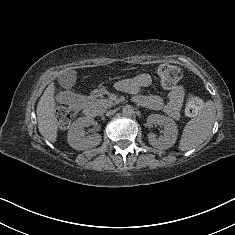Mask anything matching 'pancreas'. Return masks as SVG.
<instances>
[{"mask_svg": "<svg viewBox=\"0 0 235 235\" xmlns=\"http://www.w3.org/2000/svg\"><path fill=\"white\" fill-rule=\"evenodd\" d=\"M107 101H108V100H107V99H105V100H102L101 102H104V103H105V102H107Z\"/></svg>", "mask_w": 235, "mask_h": 235, "instance_id": "cf45deb5", "label": "pancreas"}]
</instances>
